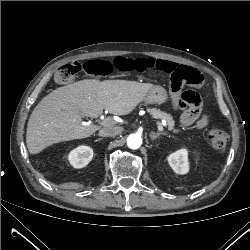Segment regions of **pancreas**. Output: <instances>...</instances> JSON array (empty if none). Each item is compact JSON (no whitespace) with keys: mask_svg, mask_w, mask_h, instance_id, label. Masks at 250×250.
Returning a JSON list of instances; mask_svg holds the SVG:
<instances>
[{"mask_svg":"<svg viewBox=\"0 0 250 250\" xmlns=\"http://www.w3.org/2000/svg\"><path fill=\"white\" fill-rule=\"evenodd\" d=\"M148 112L155 119L165 120L167 122L168 130L172 131L173 133H178L180 131V130L174 128L175 121L173 120V118L170 114L163 112V111L156 109V108H151V109L149 108Z\"/></svg>","mask_w":250,"mask_h":250,"instance_id":"cf45deb5","label":"pancreas"}]
</instances>
